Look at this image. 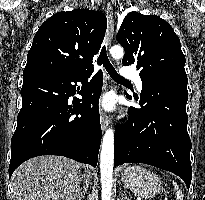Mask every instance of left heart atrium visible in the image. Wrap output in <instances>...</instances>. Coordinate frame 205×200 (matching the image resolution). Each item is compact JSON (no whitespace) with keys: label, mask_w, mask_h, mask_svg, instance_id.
<instances>
[{"label":"left heart atrium","mask_w":205,"mask_h":200,"mask_svg":"<svg viewBox=\"0 0 205 200\" xmlns=\"http://www.w3.org/2000/svg\"><path fill=\"white\" fill-rule=\"evenodd\" d=\"M100 106L107 111L112 110L115 107L114 95L112 93L104 95L100 100Z\"/></svg>","instance_id":"left-heart-atrium-1"}]
</instances>
